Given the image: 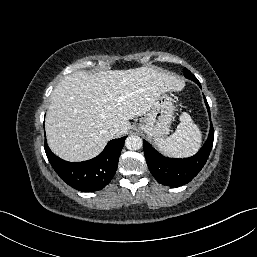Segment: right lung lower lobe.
Returning a JSON list of instances; mask_svg holds the SVG:
<instances>
[{
	"instance_id": "98d812e1",
	"label": "right lung lower lobe",
	"mask_w": 257,
	"mask_h": 257,
	"mask_svg": "<svg viewBox=\"0 0 257 257\" xmlns=\"http://www.w3.org/2000/svg\"><path fill=\"white\" fill-rule=\"evenodd\" d=\"M126 137L113 139L97 157L84 162H68L57 157L45 141L47 158L60 178L76 190L91 192L104 188L113 178Z\"/></svg>"
}]
</instances>
